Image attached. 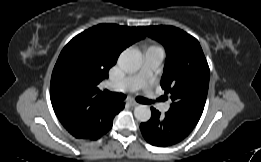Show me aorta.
Returning <instances> with one entry per match:
<instances>
[{"instance_id": "1", "label": "aorta", "mask_w": 261, "mask_h": 162, "mask_svg": "<svg viewBox=\"0 0 261 162\" xmlns=\"http://www.w3.org/2000/svg\"><path fill=\"white\" fill-rule=\"evenodd\" d=\"M142 59L137 50L127 49L118 58L119 67L126 73H134L141 67ZM134 116L140 122H147L151 118V110L147 105H138L134 109Z\"/></svg>"}]
</instances>
